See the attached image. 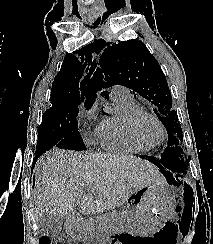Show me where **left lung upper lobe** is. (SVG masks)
Wrapping results in <instances>:
<instances>
[{
    "label": "left lung upper lobe",
    "mask_w": 213,
    "mask_h": 244,
    "mask_svg": "<svg viewBox=\"0 0 213 244\" xmlns=\"http://www.w3.org/2000/svg\"><path fill=\"white\" fill-rule=\"evenodd\" d=\"M106 45L99 61L101 69L97 70L101 85L128 87L158 108L159 113L154 111L168 133L165 151L172 158L174 174L183 179L188 160L183 157V149L177 146L183 141L182 129L176 111L172 110L171 92L158 61L139 40Z\"/></svg>",
    "instance_id": "left-lung-upper-lobe-1"
}]
</instances>
